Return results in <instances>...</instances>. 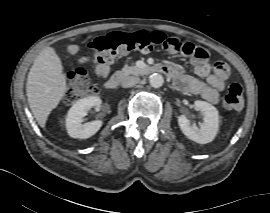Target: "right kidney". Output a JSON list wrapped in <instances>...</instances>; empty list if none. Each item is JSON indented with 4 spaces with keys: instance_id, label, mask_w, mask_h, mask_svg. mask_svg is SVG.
<instances>
[{
    "instance_id": "ca27d5eb",
    "label": "right kidney",
    "mask_w": 270,
    "mask_h": 213,
    "mask_svg": "<svg viewBox=\"0 0 270 213\" xmlns=\"http://www.w3.org/2000/svg\"><path fill=\"white\" fill-rule=\"evenodd\" d=\"M102 101L97 96H90L78 100L68 111L66 117L67 133L72 138L87 139L93 136L102 126L101 120L83 123L88 111L101 105Z\"/></svg>"
}]
</instances>
